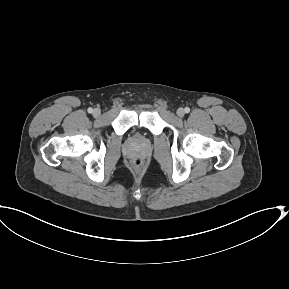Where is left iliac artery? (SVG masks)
<instances>
[{
    "label": "left iliac artery",
    "mask_w": 289,
    "mask_h": 289,
    "mask_svg": "<svg viewBox=\"0 0 289 289\" xmlns=\"http://www.w3.org/2000/svg\"><path fill=\"white\" fill-rule=\"evenodd\" d=\"M184 111H185V113H189V112H190V108H189V107H186V108L184 109Z\"/></svg>",
    "instance_id": "1"
}]
</instances>
